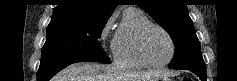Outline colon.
Returning a JSON list of instances; mask_svg holds the SVG:
<instances>
[{
  "label": "colon",
  "mask_w": 237,
  "mask_h": 81,
  "mask_svg": "<svg viewBox=\"0 0 237 81\" xmlns=\"http://www.w3.org/2000/svg\"><path fill=\"white\" fill-rule=\"evenodd\" d=\"M182 81H192V80L189 77H185Z\"/></svg>",
  "instance_id": "1"
}]
</instances>
